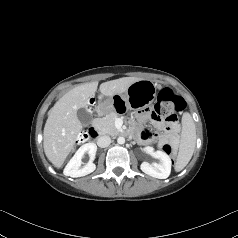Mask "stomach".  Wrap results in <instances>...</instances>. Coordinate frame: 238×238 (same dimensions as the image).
<instances>
[{"mask_svg": "<svg viewBox=\"0 0 238 238\" xmlns=\"http://www.w3.org/2000/svg\"><path fill=\"white\" fill-rule=\"evenodd\" d=\"M155 97L156 85L150 80L141 79L131 84L124 94H116L100 103L97 112L99 115L113 111L122 114L129 109H145L153 103Z\"/></svg>", "mask_w": 238, "mask_h": 238, "instance_id": "1", "label": "stomach"}]
</instances>
